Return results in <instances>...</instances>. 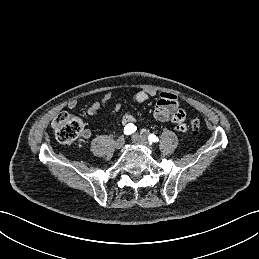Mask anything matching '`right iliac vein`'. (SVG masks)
<instances>
[{
  "instance_id": "obj_1",
  "label": "right iliac vein",
  "mask_w": 259,
  "mask_h": 259,
  "mask_svg": "<svg viewBox=\"0 0 259 259\" xmlns=\"http://www.w3.org/2000/svg\"><path fill=\"white\" fill-rule=\"evenodd\" d=\"M125 143V138L124 136H120L117 140H116V143H115V148L116 149H121L123 147Z\"/></svg>"
}]
</instances>
